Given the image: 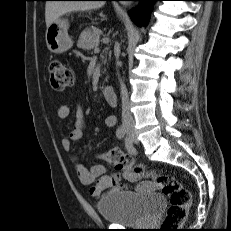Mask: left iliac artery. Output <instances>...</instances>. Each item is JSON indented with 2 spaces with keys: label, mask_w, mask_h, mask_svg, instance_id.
<instances>
[{
  "label": "left iliac artery",
  "mask_w": 231,
  "mask_h": 231,
  "mask_svg": "<svg viewBox=\"0 0 231 231\" xmlns=\"http://www.w3.org/2000/svg\"><path fill=\"white\" fill-rule=\"evenodd\" d=\"M125 146L127 148V151L131 154H135L136 153V149L134 148L132 141L130 139V137H126L125 140Z\"/></svg>",
  "instance_id": "1"
}]
</instances>
